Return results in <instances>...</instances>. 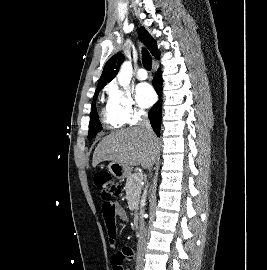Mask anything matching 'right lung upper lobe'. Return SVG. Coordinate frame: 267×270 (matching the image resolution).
Returning <instances> with one entry per match:
<instances>
[{"label":"right lung upper lobe","instance_id":"obj_1","mask_svg":"<svg viewBox=\"0 0 267 270\" xmlns=\"http://www.w3.org/2000/svg\"><path fill=\"white\" fill-rule=\"evenodd\" d=\"M138 34L144 40L145 44L150 49L152 55L156 58H159L160 52L156 48V41L148 34L144 27H141L138 30ZM123 61L124 55L121 53H117L106 62L102 75L99 79L96 92H100L101 89L117 75Z\"/></svg>","mask_w":267,"mask_h":270}]
</instances>
